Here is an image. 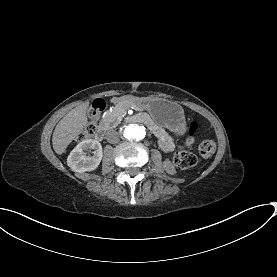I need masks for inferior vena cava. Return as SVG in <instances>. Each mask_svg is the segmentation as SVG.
I'll list each match as a JSON object with an SVG mask.
<instances>
[{"instance_id":"inferior-vena-cava-1","label":"inferior vena cava","mask_w":277,"mask_h":277,"mask_svg":"<svg viewBox=\"0 0 277 277\" xmlns=\"http://www.w3.org/2000/svg\"><path fill=\"white\" fill-rule=\"evenodd\" d=\"M115 136H118V134H117V133H115Z\"/></svg>"}]
</instances>
